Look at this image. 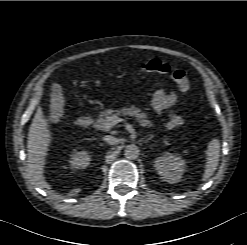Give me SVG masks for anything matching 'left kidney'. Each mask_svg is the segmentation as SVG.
<instances>
[{"label": "left kidney", "mask_w": 247, "mask_h": 245, "mask_svg": "<svg viewBox=\"0 0 247 245\" xmlns=\"http://www.w3.org/2000/svg\"><path fill=\"white\" fill-rule=\"evenodd\" d=\"M185 168V161L178 155L167 152L155 160V169L168 183L179 182Z\"/></svg>", "instance_id": "5707ae66"}]
</instances>
